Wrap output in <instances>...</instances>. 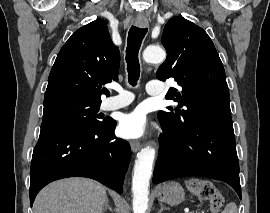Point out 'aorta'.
Returning a JSON list of instances; mask_svg holds the SVG:
<instances>
[{
    "label": "aorta",
    "mask_w": 270,
    "mask_h": 213,
    "mask_svg": "<svg viewBox=\"0 0 270 213\" xmlns=\"http://www.w3.org/2000/svg\"><path fill=\"white\" fill-rule=\"evenodd\" d=\"M166 57L159 46H149L143 52V59L148 63H160ZM155 148L148 145L138 153L132 177L133 213H146L148 208L149 181L155 159Z\"/></svg>",
    "instance_id": "762f6f07"
}]
</instances>
